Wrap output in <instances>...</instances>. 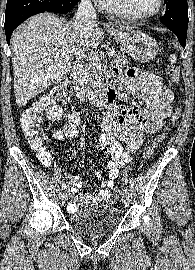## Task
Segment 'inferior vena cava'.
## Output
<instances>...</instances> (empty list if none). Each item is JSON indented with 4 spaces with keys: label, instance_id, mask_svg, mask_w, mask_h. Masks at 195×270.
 I'll list each match as a JSON object with an SVG mask.
<instances>
[{
    "label": "inferior vena cava",
    "instance_id": "1",
    "mask_svg": "<svg viewBox=\"0 0 195 270\" xmlns=\"http://www.w3.org/2000/svg\"><path fill=\"white\" fill-rule=\"evenodd\" d=\"M97 14L92 5L91 0H81L78 10L76 12V21L81 31H85L87 28L96 23ZM84 56V52L80 53L76 58L81 59Z\"/></svg>",
    "mask_w": 195,
    "mask_h": 270
}]
</instances>
